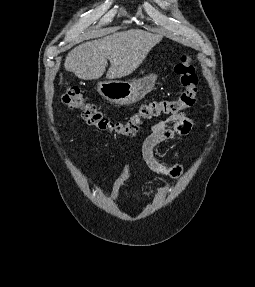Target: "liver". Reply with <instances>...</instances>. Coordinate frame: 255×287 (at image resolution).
<instances>
[{
  "label": "liver",
  "instance_id": "liver-1",
  "mask_svg": "<svg viewBox=\"0 0 255 287\" xmlns=\"http://www.w3.org/2000/svg\"><path fill=\"white\" fill-rule=\"evenodd\" d=\"M162 38L163 36L144 30L117 32L106 38L76 46L69 52L64 66L79 80H98L103 76L109 60L111 66L106 78L116 80L122 76H129L139 68L148 52L159 44Z\"/></svg>",
  "mask_w": 255,
  "mask_h": 287
}]
</instances>
